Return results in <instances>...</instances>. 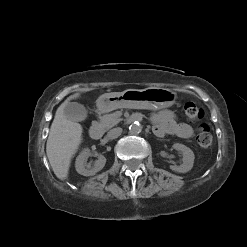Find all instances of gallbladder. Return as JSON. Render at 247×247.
Returning a JSON list of instances; mask_svg holds the SVG:
<instances>
[{
	"mask_svg": "<svg viewBox=\"0 0 247 247\" xmlns=\"http://www.w3.org/2000/svg\"><path fill=\"white\" fill-rule=\"evenodd\" d=\"M64 115L71 121H83L87 117V110L80 103L68 102L64 108Z\"/></svg>",
	"mask_w": 247,
	"mask_h": 247,
	"instance_id": "bac80fb5",
	"label": "gallbladder"
}]
</instances>
